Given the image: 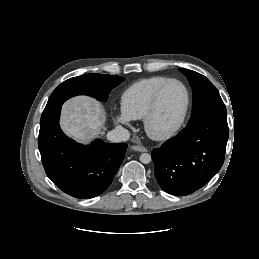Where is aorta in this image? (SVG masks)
<instances>
[{
    "label": "aorta",
    "instance_id": "1",
    "mask_svg": "<svg viewBox=\"0 0 259 259\" xmlns=\"http://www.w3.org/2000/svg\"><path fill=\"white\" fill-rule=\"evenodd\" d=\"M140 161L143 164H148L151 162V155L148 153H143L140 155Z\"/></svg>",
    "mask_w": 259,
    "mask_h": 259
}]
</instances>
